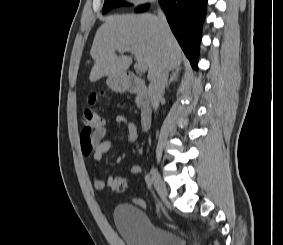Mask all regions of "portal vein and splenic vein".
<instances>
[{"label":"portal vein and splenic vein","instance_id":"1","mask_svg":"<svg viewBox=\"0 0 283 245\" xmlns=\"http://www.w3.org/2000/svg\"><path fill=\"white\" fill-rule=\"evenodd\" d=\"M135 57H136V59H137V68H138V70L140 71V72H146V70H147V65H146V63L141 59V57L138 55V54H136V53H132Z\"/></svg>","mask_w":283,"mask_h":245}]
</instances>
